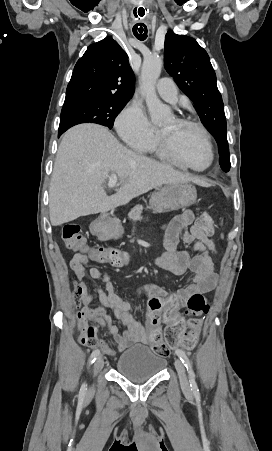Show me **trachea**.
<instances>
[{"mask_svg":"<svg viewBox=\"0 0 272 451\" xmlns=\"http://www.w3.org/2000/svg\"><path fill=\"white\" fill-rule=\"evenodd\" d=\"M139 25H142V26L144 27V29H145L144 33H142V34H139V33L137 32V28H138ZM133 33H134L135 37L138 38V40H145L146 37H147V29H146V26L143 25V24H138V25H136V26L134 27V29H133Z\"/></svg>","mask_w":272,"mask_h":451,"instance_id":"obj_1","label":"trachea"}]
</instances>
